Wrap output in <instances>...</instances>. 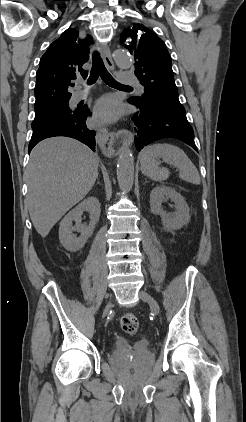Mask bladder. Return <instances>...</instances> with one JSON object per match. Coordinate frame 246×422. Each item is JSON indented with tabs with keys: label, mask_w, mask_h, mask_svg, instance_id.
Instances as JSON below:
<instances>
[{
	"label": "bladder",
	"mask_w": 246,
	"mask_h": 422,
	"mask_svg": "<svg viewBox=\"0 0 246 422\" xmlns=\"http://www.w3.org/2000/svg\"><path fill=\"white\" fill-rule=\"evenodd\" d=\"M143 358L148 362V363H152L154 360V357L151 353H145L143 354Z\"/></svg>",
	"instance_id": "bladder-1"
}]
</instances>
